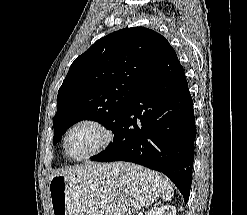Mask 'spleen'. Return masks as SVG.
<instances>
[{
	"label": "spleen",
	"mask_w": 247,
	"mask_h": 215,
	"mask_svg": "<svg viewBox=\"0 0 247 215\" xmlns=\"http://www.w3.org/2000/svg\"><path fill=\"white\" fill-rule=\"evenodd\" d=\"M161 192L163 201L167 202L174 196V190L168 179L161 180Z\"/></svg>",
	"instance_id": "spleen-1"
}]
</instances>
